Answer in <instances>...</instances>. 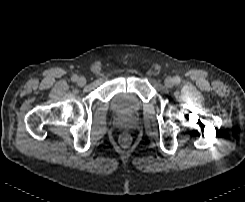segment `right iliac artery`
<instances>
[{
	"mask_svg": "<svg viewBox=\"0 0 245 202\" xmlns=\"http://www.w3.org/2000/svg\"><path fill=\"white\" fill-rule=\"evenodd\" d=\"M71 80H72L73 82H76V81L78 80V76L74 74V75L71 77Z\"/></svg>",
	"mask_w": 245,
	"mask_h": 202,
	"instance_id": "82829eb1",
	"label": "right iliac artery"
}]
</instances>
